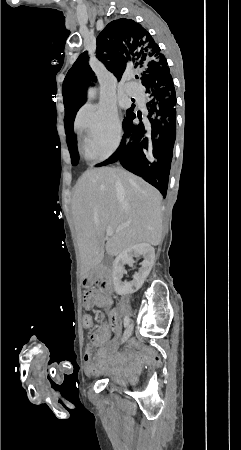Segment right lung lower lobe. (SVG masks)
Segmentation results:
<instances>
[{
  "instance_id": "right-lung-lower-lobe-1",
  "label": "right lung lower lobe",
  "mask_w": 241,
  "mask_h": 450,
  "mask_svg": "<svg viewBox=\"0 0 241 450\" xmlns=\"http://www.w3.org/2000/svg\"><path fill=\"white\" fill-rule=\"evenodd\" d=\"M146 88L149 124H133L134 112L123 120L124 134L116 152L96 166L119 161L128 171L156 187L165 197L176 138V94L168 64L147 68L141 75ZM76 112L65 115L68 146L77 150L73 122Z\"/></svg>"
}]
</instances>
